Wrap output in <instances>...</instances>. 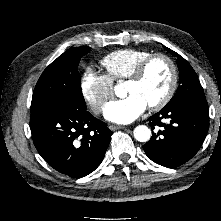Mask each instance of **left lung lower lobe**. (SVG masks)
<instances>
[{
  "label": "left lung lower lobe",
  "mask_w": 221,
  "mask_h": 221,
  "mask_svg": "<svg viewBox=\"0 0 221 221\" xmlns=\"http://www.w3.org/2000/svg\"><path fill=\"white\" fill-rule=\"evenodd\" d=\"M209 108L206 100H188L163 108L148 119L153 132L143 145L146 155L157 164L174 168L190 160L199 150L209 129ZM168 119L169 123L162 122Z\"/></svg>",
  "instance_id": "obj_1"
}]
</instances>
